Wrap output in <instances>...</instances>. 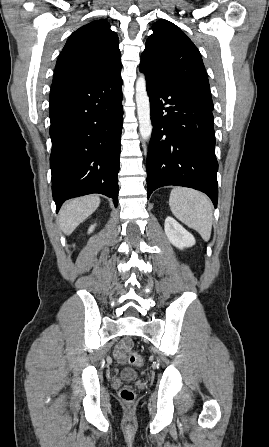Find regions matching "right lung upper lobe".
Returning <instances> with one entry per match:
<instances>
[{
	"label": "right lung upper lobe",
	"mask_w": 269,
	"mask_h": 447,
	"mask_svg": "<svg viewBox=\"0 0 269 447\" xmlns=\"http://www.w3.org/2000/svg\"><path fill=\"white\" fill-rule=\"evenodd\" d=\"M119 39L106 20L92 21L68 38L61 51L52 87L100 82L121 71Z\"/></svg>",
	"instance_id": "cb5924a9"
}]
</instances>
